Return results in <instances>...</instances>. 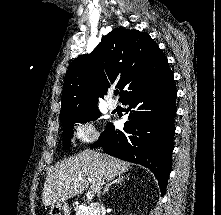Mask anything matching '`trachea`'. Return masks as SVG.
Returning <instances> with one entry per match:
<instances>
[{"instance_id": "3493384b", "label": "trachea", "mask_w": 221, "mask_h": 215, "mask_svg": "<svg viewBox=\"0 0 221 215\" xmlns=\"http://www.w3.org/2000/svg\"><path fill=\"white\" fill-rule=\"evenodd\" d=\"M118 93H119V91H118V90L114 91V95H115V96H117V95H118Z\"/></svg>"}]
</instances>
